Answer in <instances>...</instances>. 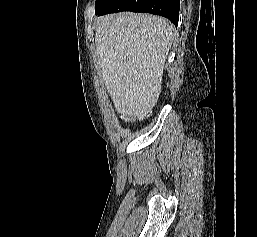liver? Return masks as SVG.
Returning a JSON list of instances; mask_svg holds the SVG:
<instances>
[{
    "label": "liver",
    "mask_w": 257,
    "mask_h": 237,
    "mask_svg": "<svg viewBox=\"0 0 257 237\" xmlns=\"http://www.w3.org/2000/svg\"><path fill=\"white\" fill-rule=\"evenodd\" d=\"M174 35V26L154 15L124 12L98 19L96 53L118 113L140 115L155 106Z\"/></svg>",
    "instance_id": "6515ba94"
}]
</instances>
